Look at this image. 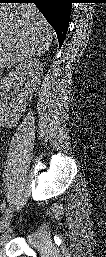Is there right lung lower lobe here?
<instances>
[{"label": "right lung lower lobe", "mask_w": 106, "mask_h": 257, "mask_svg": "<svg viewBox=\"0 0 106 257\" xmlns=\"http://www.w3.org/2000/svg\"><path fill=\"white\" fill-rule=\"evenodd\" d=\"M0 3H34L46 20L54 28L59 47L65 39L74 0H0Z\"/></svg>", "instance_id": "1"}]
</instances>
